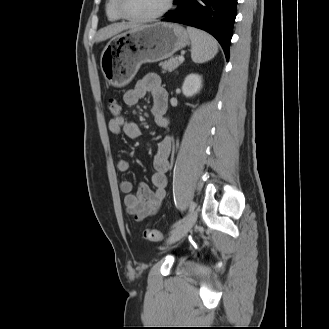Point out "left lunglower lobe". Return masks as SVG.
I'll return each mask as SVG.
<instances>
[{"label":"left lung lower lobe","mask_w":329,"mask_h":329,"mask_svg":"<svg viewBox=\"0 0 329 329\" xmlns=\"http://www.w3.org/2000/svg\"><path fill=\"white\" fill-rule=\"evenodd\" d=\"M178 7L161 21L182 23L207 31L221 44L226 59L236 17L237 0H177Z\"/></svg>","instance_id":"obj_1"}]
</instances>
